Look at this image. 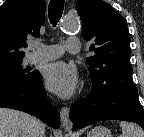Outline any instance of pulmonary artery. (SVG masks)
Listing matches in <instances>:
<instances>
[{"instance_id":"pulmonary-artery-1","label":"pulmonary artery","mask_w":144,"mask_h":137,"mask_svg":"<svg viewBox=\"0 0 144 137\" xmlns=\"http://www.w3.org/2000/svg\"><path fill=\"white\" fill-rule=\"evenodd\" d=\"M35 51L30 55L31 62H46L59 58L64 51L69 53H77L80 50L79 40L76 38H68L65 42L55 45H45L40 42L31 44Z\"/></svg>"}]
</instances>
